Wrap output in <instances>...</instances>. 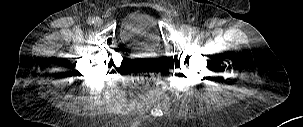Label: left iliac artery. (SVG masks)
Segmentation results:
<instances>
[{"mask_svg":"<svg viewBox=\"0 0 303 127\" xmlns=\"http://www.w3.org/2000/svg\"><path fill=\"white\" fill-rule=\"evenodd\" d=\"M192 32H193L194 34H196V33L198 32V29L193 28V29H192Z\"/></svg>","mask_w":303,"mask_h":127,"instance_id":"obj_1","label":"left iliac artery"}]
</instances>
